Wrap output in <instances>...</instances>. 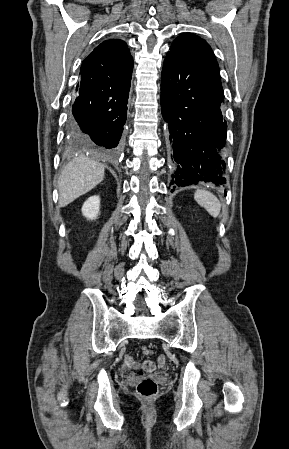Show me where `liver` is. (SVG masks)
Masks as SVG:
<instances>
[{
    "label": "liver",
    "instance_id": "1",
    "mask_svg": "<svg viewBox=\"0 0 289 449\" xmlns=\"http://www.w3.org/2000/svg\"><path fill=\"white\" fill-rule=\"evenodd\" d=\"M104 175V165L83 155L69 162L58 180L59 206L65 207L92 190Z\"/></svg>",
    "mask_w": 289,
    "mask_h": 449
}]
</instances>
